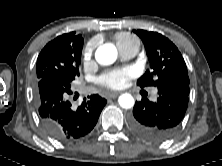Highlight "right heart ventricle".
<instances>
[{"label": "right heart ventricle", "mask_w": 222, "mask_h": 166, "mask_svg": "<svg viewBox=\"0 0 222 166\" xmlns=\"http://www.w3.org/2000/svg\"><path fill=\"white\" fill-rule=\"evenodd\" d=\"M114 39L119 50L127 47H138L139 44L137 37L127 32L117 33Z\"/></svg>", "instance_id": "right-heart-ventricle-1"}]
</instances>
